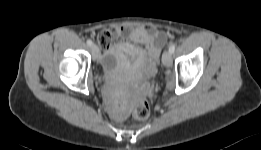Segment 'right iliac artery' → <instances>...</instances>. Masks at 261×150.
<instances>
[{
	"instance_id": "82829eb1",
	"label": "right iliac artery",
	"mask_w": 261,
	"mask_h": 150,
	"mask_svg": "<svg viewBox=\"0 0 261 150\" xmlns=\"http://www.w3.org/2000/svg\"><path fill=\"white\" fill-rule=\"evenodd\" d=\"M87 44H88L89 46H91V45H92V41H91L90 39H88V40H87Z\"/></svg>"
}]
</instances>
